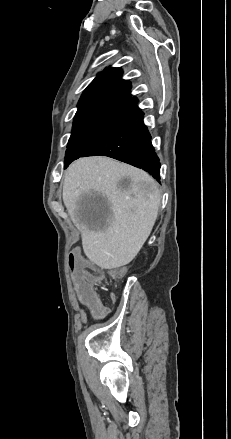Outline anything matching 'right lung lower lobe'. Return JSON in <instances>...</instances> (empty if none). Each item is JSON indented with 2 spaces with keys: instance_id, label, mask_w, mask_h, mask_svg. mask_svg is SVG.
<instances>
[{
  "instance_id": "1",
  "label": "right lung lower lobe",
  "mask_w": 231,
  "mask_h": 439,
  "mask_svg": "<svg viewBox=\"0 0 231 439\" xmlns=\"http://www.w3.org/2000/svg\"><path fill=\"white\" fill-rule=\"evenodd\" d=\"M108 156L141 168L160 180V162L151 144V136L138 111L121 122L102 140L80 157Z\"/></svg>"
}]
</instances>
